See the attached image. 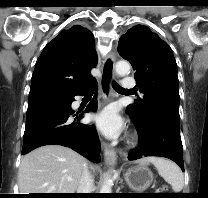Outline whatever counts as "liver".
I'll use <instances>...</instances> for the list:
<instances>
[{
	"mask_svg": "<svg viewBox=\"0 0 208 198\" xmlns=\"http://www.w3.org/2000/svg\"><path fill=\"white\" fill-rule=\"evenodd\" d=\"M149 158L138 163L148 165ZM87 160L72 149L46 145L25 155L18 171L20 194L75 193Z\"/></svg>",
	"mask_w": 208,
	"mask_h": 198,
	"instance_id": "1",
	"label": "liver"
}]
</instances>
